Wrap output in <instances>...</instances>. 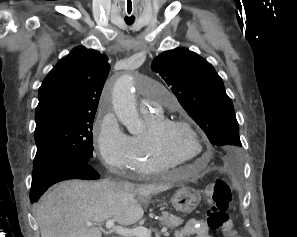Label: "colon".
<instances>
[{"instance_id": "5ec220e1", "label": "colon", "mask_w": 297, "mask_h": 237, "mask_svg": "<svg viewBox=\"0 0 297 237\" xmlns=\"http://www.w3.org/2000/svg\"><path fill=\"white\" fill-rule=\"evenodd\" d=\"M207 194L211 202L206 215L209 228L223 232L226 237H242L229 219L228 210L232 201L229 186L224 181L215 182L208 188Z\"/></svg>"}]
</instances>
